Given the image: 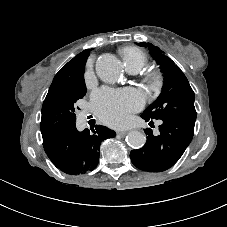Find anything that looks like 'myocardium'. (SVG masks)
<instances>
[{
	"mask_svg": "<svg viewBox=\"0 0 227 227\" xmlns=\"http://www.w3.org/2000/svg\"><path fill=\"white\" fill-rule=\"evenodd\" d=\"M144 82L150 88H158L162 82L161 73L156 70L146 72Z\"/></svg>",
	"mask_w": 227,
	"mask_h": 227,
	"instance_id": "f54148a6",
	"label": "myocardium"
}]
</instances>
